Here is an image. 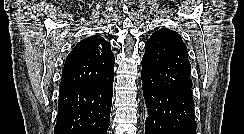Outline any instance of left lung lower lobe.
<instances>
[{"mask_svg":"<svg viewBox=\"0 0 244 134\" xmlns=\"http://www.w3.org/2000/svg\"><path fill=\"white\" fill-rule=\"evenodd\" d=\"M142 88L149 112L146 134H196L191 91L157 85L142 70Z\"/></svg>","mask_w":244,"mask_h":134,"instance_id":"0a47b994","label":"left lung lower lobe"}]
</instances>
